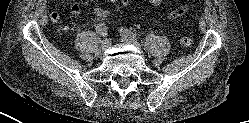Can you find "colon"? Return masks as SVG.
<instances>
[{"mask_svg":"<svg viewBox=\"0 0 249 123\" xmlns=\"http://www.w3.org/2000/svg\"><path fill=\"white\" fill-rule=\"evenodd\" d=\"M179 43L181 45L182 48L189 50L192 48L193 45V41L190 37L187 36H183L180 38Z\"/></svg>","mask_w":249,"mask_h":123,"instance_id":"obj_1","label":"colon"}]
</instances>
